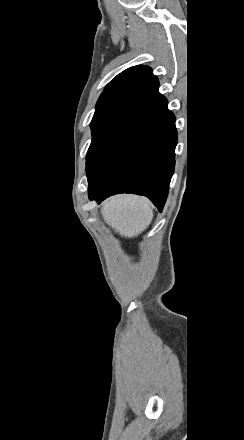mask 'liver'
<instances>
[{
    "label": "liver",
    "mask_w": 244,
    "mask_h": 440,
    "mask_svg": "<svg viewBox=\"0 0 244 440\" xmlns=\"http://www.w3.org/2000/svg\"><path fill=\"white\" fill-rule=\"evenodd\" d=\"M101 206L105 224L124 238H135L142 234L150 226L154 216L149 200L133 194L112 196Z\"/></svg>",
    "instance_id": "liver-1"
}]
</instances>
